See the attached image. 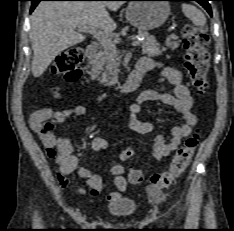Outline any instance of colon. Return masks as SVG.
I'll return each mask as SVG.
<instances>
[{
    "label": "colon",
    "mask_w": 234,
    "mask_h": 231,
    "mask_svg": "<svg viewBox=\"0 0 234 231\" xmlns=\"http://www.w3.org/2000/svg\"><path fill=\"white\" fill-rule=\"evenodd\" d=\"M182 42L185 48V67L188 71L192 86L196 92L203 94L207 87V73L209 69V37L202 29L187 25L182 30ZM83 59L79 47L64 50L53 66L55 74L63 75L69 81H76L81 76L79 65ZM199 144L198 134L190 135L185 143L176 151L169 167L160 173L150 176V193L158 195L159 190L170 187L184 173ZM135 152L132 148H125L121 154L122 161H130ZM128 180L132 184L142 183L144 175L141 169L131 168Z\"/></svg>",
    "instance_id": "5ec220e1"
}]
</instances>
